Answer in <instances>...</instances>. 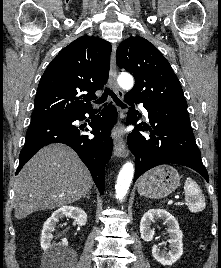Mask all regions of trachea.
I'll return each mask as SVG.
<instances>
[{
	"label": "trachea",
	"mask_w": 221,
	"mask_h": 268,
	"mask_svg": "<svg viewBox=\"0 0 221 268\" xmlns=\"http://www.w3.org/2000/svg\"><path fill=\"white\" fill-rule=\"evenodd\" d=\"M108 95H110V96L113 98V100L115 101V103H116L117 105L121 106L122 108H125V107H126V106H125V105H124V104L117 98V96L114 94V92H113L112 90H110L109 88H106V89H105L103 95H102L98 100L95 101V104H101V103H103V102L107 99Z\"/></svg>",
	"instance_id": "obj_1"
}]
</instances>
